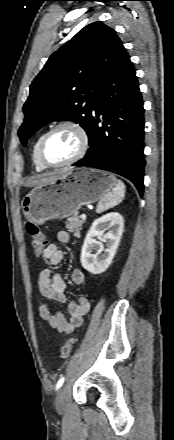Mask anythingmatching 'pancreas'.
<instances>
[{
    "label": "pancreas",
    "instance_id": "cf45deb5",
    "mask_svg": "<svg viewBox=\"0 0 174 440\" xmlns=\"http://www.w3.org/2000/svg\"><path fill=\"white\" fill-rule=\"evenodd\" d=\"M83 220H80L78 213H75L67 219L66 228L69 232L73 233L75 237H80V231L82 229Z\"/></svg>",
    "mask_w": 174,
    "mask_h": 440
}]
</instances>
